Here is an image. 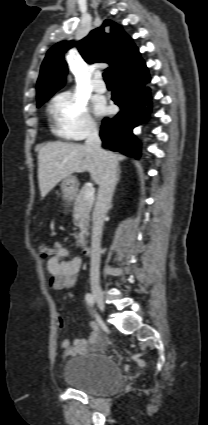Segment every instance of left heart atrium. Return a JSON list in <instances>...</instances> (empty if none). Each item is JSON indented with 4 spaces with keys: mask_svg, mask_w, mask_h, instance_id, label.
Instances as JSON below:
<instances>
[{
    "mask_svg": "<svg viewBox=\"0 0 208 425\" xmlns=\"http://www.w3.org/2000/svg\"><path fill=\"white\" fill-rule=\"evenodd\" d=\"M95 111H96L97 114H103L107 111V109H106L104 103L98 102L95 105Z\"/></svg>",
    "mask_w": 208,
    "mask_h": 425,
    "instance_id": "obj_1",
    "label": "left heart atrium"
}]
</instances>
